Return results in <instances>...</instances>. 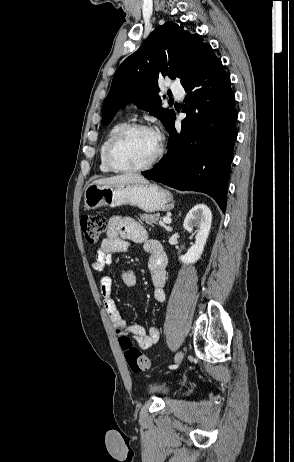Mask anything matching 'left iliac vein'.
I'll return each instance as SVG.
<instances>
[{
  "label": "left iliac vein",
  "instance_id": "4c4485c4",
  "mask_svg": "<svg viewBox=\"0 0 294 462\" xmlns=\"http://www.w3.org/2000/svg\"><path fill=\"white\" fill-rule=\"evenodd\" d=\"M184 357V354L182 351H179L177 352V354L175 355V366H179V364L181 363L182 359Z\"/></svg>",
  "mask_w": 294,
  "mask_h": 462
}]
</instances>
